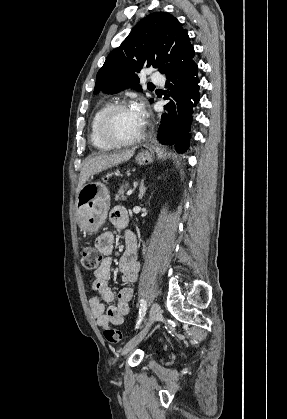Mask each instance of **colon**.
Instances as JSON below:
<instances>
[{"label": "colon", "instance_id": "obj_1", "mask_svg": "<svg viewBox=\"0 0 287 419\" xmlns=\"http://www.w3.org/2000/svg\"><path fill=\"white\" fill-rule=\"evenodd\" d=\"M102 262V255L95 247H86L82 250L81 263L86 271H96ZM104 337L109 343H118L124 339V335L117 329H106Z\"/></svg>", "mask_w": 287, "mask_h": 419}]
</instances>
